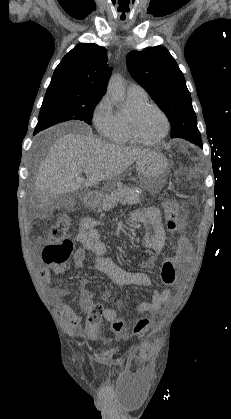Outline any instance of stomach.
I'll return each instance as SVG.
<instances>
[{"mask_svg":"<svg viewBox=\"0 0 231 419\" xmlns=\"http://www.w3.org/2000/svg\"><path fill=\"white\" fill-rule=\"evenodd\" d=\"M136 168L142 188L153 193L166 182L169 162L162 153L150 151L137 160Z\"/></svg>","mask_w":231,"mask_h":419,"instance_id":"stomach-1","label":"stomach"}]
</instances>
